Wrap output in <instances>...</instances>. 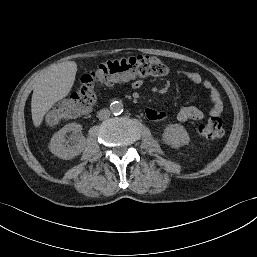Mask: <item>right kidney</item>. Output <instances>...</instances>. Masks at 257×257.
<instances>
[{
	"mask_svg": "<svg viewBox=\"0 0 257 257\" xmlns=\"http://www.w3.org/2000/svg\"><path fill=\"white\" fill-rule=\"evenodd\" d=\"M82 127L77 123H69L56 132L51 138L49 149L61 159H71L79 155L85 145V138L81 134ZM68 133H72L70 137ZM68 143H71L70 146Z\"/></svg>",
	"mask_w": 257,
	"mask_h": 257,
	"instance_id": "right-kidney-1",
	"label": "right kidney"
}]
</instances>
